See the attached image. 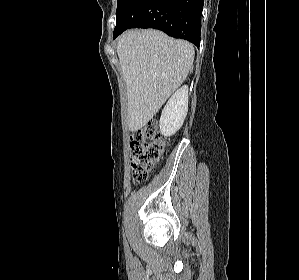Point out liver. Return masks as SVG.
Here are the masks:
<instances>
[{
  "mask_svg": "<svg viewBox=\"0 0 299 280\" xmlns=\"http://www.w3.org/2000/svg\"><path fill=\"white\" fill-rule=\"evenodd\" d=\"M127 88L128 127H144L170 95L186 79L194 47L165 33L129 30L120 36L116 48Z\"/></svg>",
  "mask_w": 299,
  "mask_h": 280,
  "instance_id": "6515ba94",
  "label": "liver"
}]
</instances>
